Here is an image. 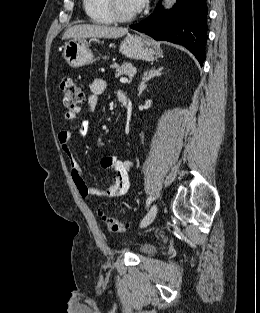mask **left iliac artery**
Listing matches in <instances>:
<instances>
[{
  "label": "left iliac artery",
  "instance_id": "44dca946",
  "mask_svg": "<svg viewBox=\"0 0 260 313\" xmlns=\"http://www.w3.org/2000/svg\"><path fill=\"white\" fill-rule=\"evenodd\" d=\"M153 201V198L150 196L147 198V201H146V207H148Z\"/></svg>",
  "mask_w": 260,
  "mask_h": 313
}]
</instances>
